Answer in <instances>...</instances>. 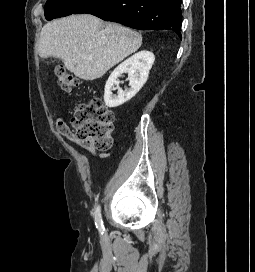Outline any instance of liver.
<instances>
[{"mask_svg":"<svg viewBox=\"0 0 255 272\" xmlns=\"http://www.w3.org/2000/svg\"><path fill=\"white\" fill-rule=\"evenodd\" d=\"M142 44V35L90 14L71 15L45 24L38 52L41 58L62 59L65 67L83 80L102 77Z\"/></svg>","mask_w":255,"mask_h":272,"instance_id":"6515ba94","label":"liver"}]
</instances>
